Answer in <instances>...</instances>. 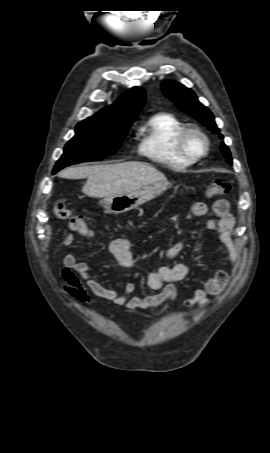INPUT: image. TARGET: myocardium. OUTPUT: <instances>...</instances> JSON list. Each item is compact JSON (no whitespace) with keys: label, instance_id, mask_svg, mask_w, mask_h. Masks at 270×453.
Wrapping results in <instances>:
<instances>
[{"label":"myocardium","instance_id":"1","mask_svg":"<svg viewBox=\"0 0 270 453\" xmlns=\"http://www.w3.org/2000/svg\"><path fill=\"white\" fill-rule=\"evenodd\" d=\"M191 135H198L204 140V148L201 152L199 153H194L189 150L188 145H187V139ZM176 146L178 151L187 159L191 161H198L205 156L210 151V140L207 136V134L200 129L199 127H185L183 128L180 133L178 134L176 138Z\"/></svg>","mask_w":270,"mask_h":453}]
</instances>
